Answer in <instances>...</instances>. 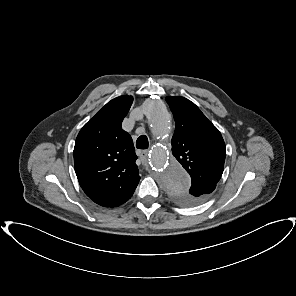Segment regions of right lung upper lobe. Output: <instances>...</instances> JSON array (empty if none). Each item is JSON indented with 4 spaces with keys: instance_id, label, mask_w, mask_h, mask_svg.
I'll return each instance as SVG.
<instances>
[{
    "instance_id": "obj_1",
    "label": "right lung upper lobe",
    "mask_w": 296,
    "mask_h": 296,
    "mask_svg": "<svg viewBox=\"0 0 296 296\" xmlns=\"http://www.w3.org/2000/svg\"><path fill=\"white\" fill-rule=\"evenodd\" d=\"M133 98L109 101L80 130L74 147L75 172L81 188L105 207L128 201L140 180L131 136L122 129Z\"/></svg>"
}]
</instances>
